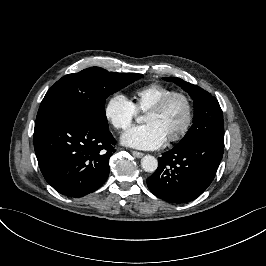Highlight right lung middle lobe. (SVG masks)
<instances>
[{"mask_svg": "<svg viewBox=\"0 0 266 266\" xmlns=\"http://www.w3.org/2000/svg\"><path fill=\"white\" fill-rule=\"evenodd\" d=\"M135 73L108 72L91 67L68 74L57 81L46 93L36 121L59 112L71 113L99 129H108L105 114L106 98L140 79Z\"/></svg>", "mask_w": 266, "mask_h": 266, "instance_id": "dd1d6c3e", "label": "right lung middle lobe"}]
</instances>
